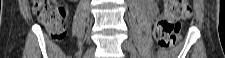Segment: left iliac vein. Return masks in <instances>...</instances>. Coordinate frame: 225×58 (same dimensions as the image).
I'll return each mask as SVG.
<instances>
[{"label": "left iliac vein", "instance_id": "4c4485c4", "mask_svg": "<svg viewBox=\"0 0 225 58\" xmlns=\"http://www.w3.org/2000/svg\"><path fill=\"white\" fill-rule=\"evenodd\" d=\"M122 47L127 50L128 52L131 53V55L134 57V58H137L139 57L138 53L136 52V48L135 46L128 40L124 41L122 43Z\"/></svg>", "mask_w": 225, "mask_h": 58}]
</instances>
